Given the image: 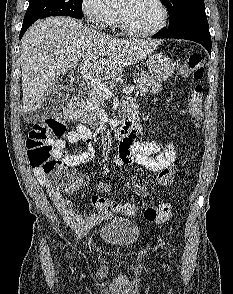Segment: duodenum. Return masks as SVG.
I'll return each mask as SVG.
<instances>
[{"label":"duodenum","mask_w":233,"mask_h":294,"mask_svg":"<svg viewBox=\"0 0 233 294\" xmlns=\"http://www.w3.org/2000/svg\"><path fill=\"white\" fill-rule=\"evenodd\" d=\"M124 115V123L115 131L114 137L121 142L133 141L137 137L140 129L138 111L135 106L127 104L124 106ZM64 116L69 121H80L78 98L74 97L66 104Z\"/></svg>","instance_id":"duodenum-1"}]
</instances>
